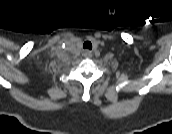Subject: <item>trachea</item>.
Wrapping results in <instances>:
<instances>
[{
	"label": "trachea",
	"instance_id": "obj_1",
	"mask_svg": "<svg viewBox=\"0 0 172 134\" xmlns=\"http://www.w3.org/2000/svg\"><path fill=\"white\" fill-rule=\"evenodd\" d=\"M83 48L91 50L92 49V43L90 41H85L83 44Z\"/></svg>",
	"mask_w": 172,
	"mask_h": 134
}]
</instances>
